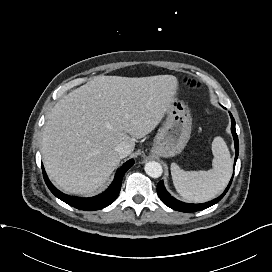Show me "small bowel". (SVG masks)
I'll list each match as a JSON object with an SVG mask.
<instances>
[{
    "mask_svg": "<svg viewBox=\"0 0 272 272\" xmlns=\"http://www.w3.org/2000/svg\"><path fill=\"white\" fill-rule=\"evenodd\" d=\"M180 82L191 89H203V86L199 81L190 77H182L180 78Z\"/></svg>",
    "mask_w": 272,
    "mask_h": 272,
    "instance_id": "1",
    "label": "small bowel"
}]
</instances>
